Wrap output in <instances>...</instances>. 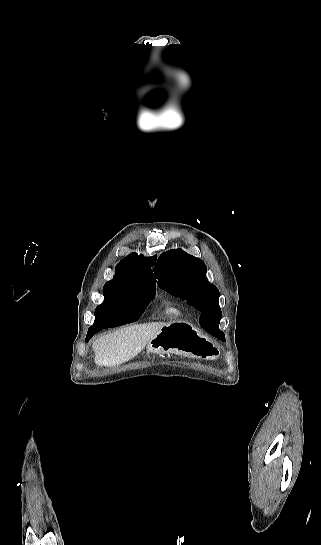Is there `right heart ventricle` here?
<instances>
[{
  "label": "right heart ventricle",
  "mask_w": 321,
  "mask_h": 545,
  "mask_svg": "<svg viewBox=\"0 0 321 545\" xmlns=\"http://www.w3.org/2000/svg\"><path fill=\"white\" fill-rule=\"evenodd\" d=\"M164 308L170 315L180 318L183 316V310L180 306L173 304V303H165Z\"/></svg>",
  "instance_id": "right-heart-ventricle-1"
}]
</instances>
